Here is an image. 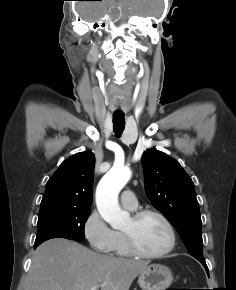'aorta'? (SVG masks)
I'll use <instances>...</instances> for the list:
<instances>
[{
	"instance_id": "762f6f07",
	"label": "aorta",
	"mask_w": 236,
	"mask_h": 290,
	"mask_svg": "<svg viewBox=\"0 0 236 290\" xmlns=\"http://www.w3.org/2000/svg\"><path fill=\"white\" fill-rule=\"evenodd\" d=\"M131 177L124 166H114L100 180L96 189V205L102 218L114 229L123 228L129 214L121 210L118 195Z\"/></svg>"
}]
</instances>
